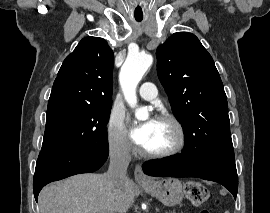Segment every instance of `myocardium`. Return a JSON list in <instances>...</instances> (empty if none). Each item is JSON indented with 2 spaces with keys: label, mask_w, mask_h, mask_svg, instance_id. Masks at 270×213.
<instances>
[{
  "label": "myocardium",
  "mask_w": 270,
  "mask_h": 213,
  "mask_svg": "<svg viewBox=\"0 0 270 213\" xmlns=\"http://www.w3.org/2000/svg\"><path fill=\"white\" fill-rule=\"evenodd\" d=\"M159 121L169 122L175 129L177 134V141L170 148L162 151L151 152L142 150L143 156L152 159L167 158L181 152L186 145V133L182 123L170 113H162L157 117Z\"/></svg>",
  "instance_id": "myocardium-1"
}]
</instances>
